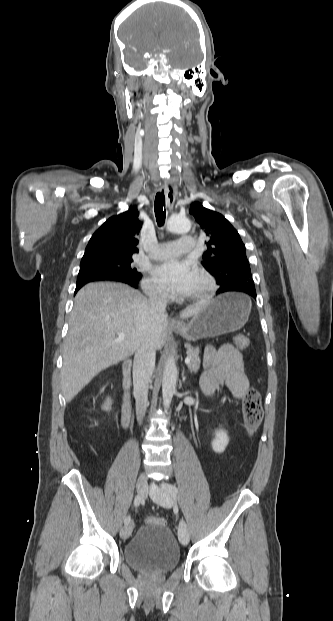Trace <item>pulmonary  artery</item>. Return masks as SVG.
Returning <instances> with one entry per match:
<instances>
[{"mask_svg":"<svg viewBox=\"0 0 333 621\" xmlns=\"http://www.w3.org/2000/svg\"><path fill=\"white\" fill-rule=\"evenodd\" d=\"M196 248L195 239L191 236L184 235L178 241L162 242L156 245L150 253L152 259H170L181 253L194 251Z\"/></svg>","mask_w":333,"mask_h":621,"instance_id":"pulmonary-artery-1","label":"pulmonary artery"}]
</instances>
